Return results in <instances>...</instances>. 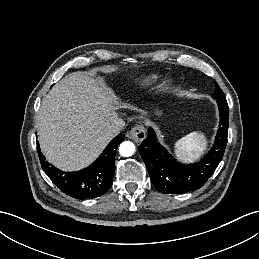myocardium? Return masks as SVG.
<instances>
[{
	"mask_svg": "<svg viewBox=\"0 0 259 259\" xmlns=\"http://www.w3.org/2000/svg\"><path fill=\"white\" fill-rule=\"evenodd\" d=\"M169 88V82H165L161 85L160 89L161 91H165Z\"/></svg>",
	"mask_w": 259,
	"mask_h": 259,
	"instance_id": "f54148a6",
	"label": "myocardium"
}]
</instances>
